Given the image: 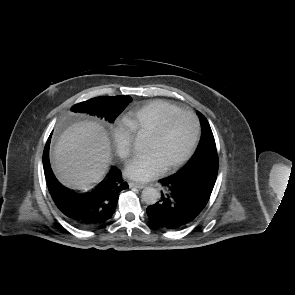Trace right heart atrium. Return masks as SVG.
Segmentation results:
<instances>
[{
	"label": "right heart atrium",
	"mask_w": 295,
	"mask_h": 295,
	"mask_svg": "<svg viewBox=\"0 0 295 295\" xmlns=\"http://www.w3.org/2000/svg\"><path fill=\"white\" fill-rule=\"evenodd\" d=\"M113 142L117 154L122 159H127L132 153V132L124 123L114 126L112 132Z\"/></svg>",
	"instance_id": "d8ad5b80"
}]
</instances>
